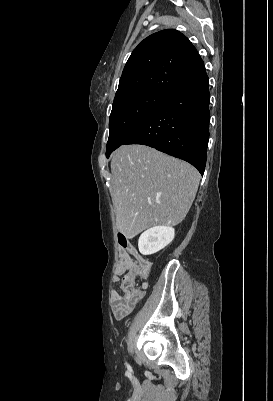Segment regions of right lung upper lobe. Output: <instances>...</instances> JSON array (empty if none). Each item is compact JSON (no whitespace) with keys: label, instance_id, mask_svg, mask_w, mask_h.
I'll list each match as a JSON object with an SVG mask.
<instances>
[{"label":"right lung upper lobe","instance_id":"obj_1","mask_svg":"<svg viewBox=\"0 0 273 401\" xmlns=\"http://www.w3.org/2000/svg\"><path fill=\"white\" fill-rule=\"evenodd\" d=\"M204 71L203 61L187 37L174 29L162 30L134 49L114 100L144 91L167 94Z\"/></svg>","mask_w":273,"mask_h":401}]
</instances>
